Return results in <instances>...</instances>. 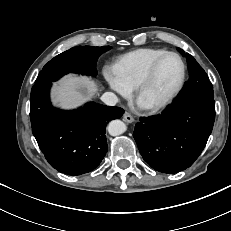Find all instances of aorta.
Returning <instances> with one entry per match:
<instances>
[{"label": "aorta", "instance_id": "aorta-1", "mask_svg": "<svg viewBox=\"0 0 231 231\" xmlns=\"http://www.w3.org/2000/svg\"><path fill=\"white\" fill-rule=\"evenodd\" d=\"M126 129V124L121 120H113L108 125V132L111 136L121 135Z\"/></svg>", "mask_w": 231, "mask_h": 231}]
</instances>
